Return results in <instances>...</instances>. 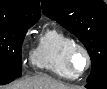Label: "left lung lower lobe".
Listing matches in <instances>:
<instances>
[{
  "instance_id": "0a47b994",
  "label": "left lung lower lobe",
  "mask_w": 107,
  "mask_h": 89,
  "mask_svg": "<svg viewBox=\"0 0 107 89\" xmlns=\"http://www.w3.org/2000/svg\"><path fill=\"white\" fill-rule=\"evenodd\" d=\"M86 88L88 89H107V75L102 76L98 80L87 83Z\"/></svg>"
}]
</instances>
